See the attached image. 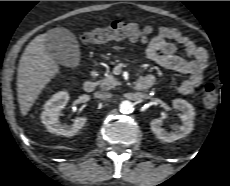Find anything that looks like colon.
I'll return each mask as SVG.
<instances>
[{
    "mask_svg": "<svg viewBox=\"0 0 230 186\" xmlns=\"http://www.w3.org/2000/svg\"><path fill=\"white\" fill-rule=\"evenodd\" d=\"M152 33L150 27H140L134 23L114 21L105 28L93 29L84 32L81 39L85 43L97 44L112 40H140L147 41ZM203 102L206 107L212 108L218 102V88L215 83L208 82L203 89Z\"/></svg>",
    "mask_w": 230,
    "mask_h": 186,
    "instance_id": "obj_1",
    "label": "colon"
}]
</instances>
